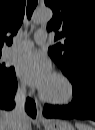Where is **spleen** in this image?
<instances>
[{"mask_svg":"<svg viewBox=\"0 0 95 130\" xmlns=\"http://www.w3.org/2000/svg\"><path fill=\"white\" fill-rule=\"evenodd\" d=\"M75 127L77 128V130H94L91 126L82 122H76Z\"/></svg>","mask_w":95,"mask_h":130,"instance_id":"spleen-1","label":"spleen"}]
</instances>
